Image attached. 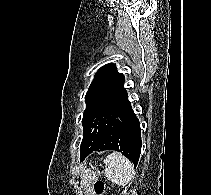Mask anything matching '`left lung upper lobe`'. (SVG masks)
<instances>
[{"mask_svg":"<svg viewBox=\"0 0 211 195\" xmlns=\"http://www.w3.org/2000/svg\"><path fill=\"white\" fill-rule=\"evenodd\" d=\"M124 82V75L117 72L114 64H107L96 73L85 96L80 157L94 148L106 125L130 103Z\"/></svg>","mask_w":211,"mask_h":195,"instance_id":"1","label":"left lung upper lobe"}]
</instances>
